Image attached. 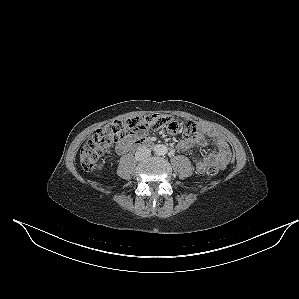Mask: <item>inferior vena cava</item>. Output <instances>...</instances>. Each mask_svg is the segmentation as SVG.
<instances>
[{"mask_svg":"<svg viewBox=\"0 0 299 299\" xmlns=\"http://www.w3.org/2000/svg\"><path fill=\"white\" fill-rule=\"evenodd\" d=\"M150 155H151V150L149 148L140 147L135 153V158L136 160L141 161L147 159L148 157H150Z\"/></svg>","mask_w":299,"mask_h":299,"instance_id":"obj_1","label":"inferior vena cava"}]
</instances>
